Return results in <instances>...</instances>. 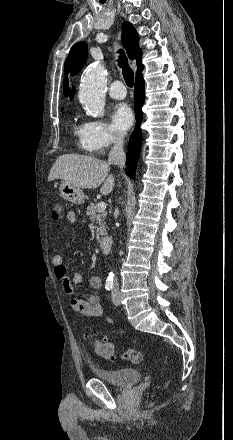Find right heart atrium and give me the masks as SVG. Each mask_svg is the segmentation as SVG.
I'll return each instance as SVG.
<instances>
[{"instance_id":"d8ad5b80","label":"right heart atrium","mask_w":233,"mask_h":440,"mask_svg":"<svg viewBox=\"0 0 233 440\" xmlns=\"http://www.w3.org/2000/svg\"><path fill=\"white\" fill-rule=\"evenodd\" d=\"M85 143L89 152L101 154L122 142V135L108 123L90 119L84 123Z\"/></svg>"}]
</instances>
